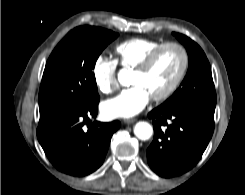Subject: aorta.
Listing matches in <instances>:
<instances>
[{
	"mask_svg": "<svg viewBox=\"0 0 245 195\" xmlns=\"http://www.w3.org/2000/svg\"><path fill=\"white\" fill-rule=\"evenodd\" d=\"M123 71L119 73L118 78L121 83H123ZM134 134L140 140H148L153 134L152 126L144 121L136 123L134 126Z\"/></svg>",
	"mask_w": 245,
	"mask_h": 195,
	"instance_id": "1",
	"label": "aorta"
}]
</instances>
